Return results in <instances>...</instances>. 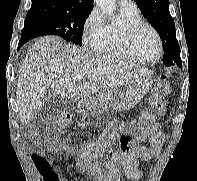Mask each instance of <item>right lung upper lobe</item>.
Listing matches in <instances>:
<instances>
[{"label":"right lung upper lobe","mask_w":197,"mask_h":181,"mask_svg":"<svg viewBox=\"0 0 197 181\" xmlns=\"http://www.w3.org/2000/svg\"><path fill=\"white\" fill-rule=\"evenodd\" d=\"M94 0H32L30 10H55L63 12H91Z\"/></svg>","instance_id":"obj_1"}]
</instances>
